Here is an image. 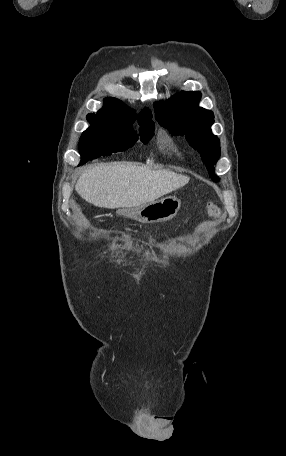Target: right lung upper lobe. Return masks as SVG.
Returning a JSON list of instances; mask_svg holds the SVG:
<instances>
[{
    "label": "right lung upper lobe",
    "instance_id": "right-lung-upper-lobe-1",
    "mask_svg": "<svg viewBox=\"0 0 286 456\" xmlns=\"http://www.w3.org/2000/svg\"><path fill=\"white\" fill-rule=\"evenodd\" d=\"M99 114L110 115L122 120L128 121H145L152 120L151 111L148 108L143 109L140 114L126 107L120 100L108 97L104 100V107L98 111Z\"/></svg>",
    "mask_w": 286,
    "mask_h": 456
}]
</instances>
